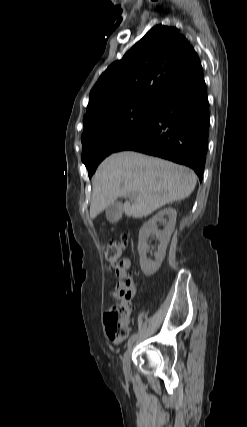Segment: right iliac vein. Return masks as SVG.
Here are the masks:
<instances>
[{
  "instance_id": "right-iliac-vein-1",
  "label": "right iliac vein",
  "mask_w": 247,
  "mask_h": 427,
  "mask_svg": "<svg viewBox=\"0 0 247 427\" xmlns=\"http://www.w3.org/2000/svg\"><path fill=\"white\" fill-rule=\"evenodd\" d=\"M132 347H133V344L129 345L123 358V371L125 373H128L130 369V357H131Z\"/></svg>"
}]
</instances>
